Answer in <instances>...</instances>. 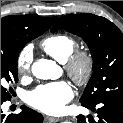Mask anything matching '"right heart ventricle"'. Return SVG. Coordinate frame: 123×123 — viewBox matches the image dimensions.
I'll return each instance as SVG.
<instances>
[{"instance_id": "e07e8e85", "label": "right heart ventricle", "mask_w": 123, "mask_h": 123, "mask_svg": "<svg viewBox=\"0 0 123 123\" xmlns=\"http://www.w3.org/2000/svg\"><path fill=\"white\" fill-rule=\"evenodd\" d=\"M76 41L66 34H54L41 42V48L58 62L64 63L76 49Z\"/></svg>"}]
</instances>
